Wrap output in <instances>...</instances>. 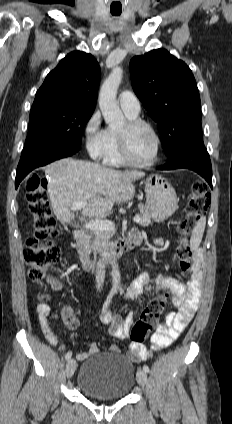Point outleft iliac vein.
Segmentation results:
<instances>
[{"label": "left iliac vein", "instance_id": "4c4485c4", "mask_svg": "<svg viewBox=\"0 0 232 424\" xmlns=\"http://www.w3.org/2000/svg\"><path fill=\"white\" fill-rule=\"evenodd\" d=\"M137 382L139 385L144 386L147 382V374L144 370L139 369L136 374Z\"/></svg>", "mask_w": 232, "mask_h": 424}]
</instances>
